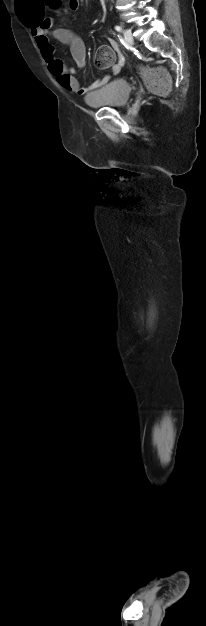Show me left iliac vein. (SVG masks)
<instances>
[{
	"label": "left iliac vein",
	"instance_id": "obj_1",
	"mask_svg": "<svg viewBox=\"0 0 206 626\" xmlns=\"http://www.w3.org/2000/svg\"><path fill=\"white\" fill-rule=\"evenodd\" d=\"M123 34H124V39L126 40V42L129 45H132L133 44V36H132L131 30L125 29Z\"/></svg>",
	"mask_w": 206,
	"mask_h": 626
}]
</instances>
